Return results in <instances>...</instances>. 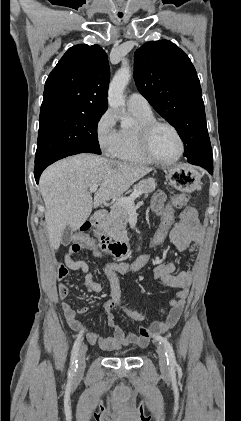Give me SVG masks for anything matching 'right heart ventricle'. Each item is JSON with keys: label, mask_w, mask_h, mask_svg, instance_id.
Segmentation results:
<instances>
[{"label": "right heart ventricle", "mask_w": 241, "mask_h": 421, "mask_svg": "<svg viewBox=\"0 0 241 421\" xmlns=\"http://www.w3.org/2000/svg\"><path fill=\"white\" fill-rule=\"evenodd\" d=\"M135 124L132 127H124L118 131V141L113 156L121 161L142 164H151L152 161L143 153L139 142L140 127L154 120L151 111L143 112L130 109Z\"/></svg>", "instance_id": "1"}]
</instances>
